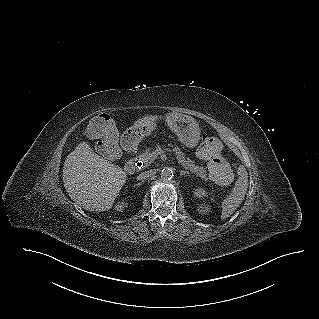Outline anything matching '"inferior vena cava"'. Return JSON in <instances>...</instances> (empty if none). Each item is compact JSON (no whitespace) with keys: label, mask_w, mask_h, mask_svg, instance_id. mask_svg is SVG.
Returning <instances> with one entry per match:
<instances>
[{"label":"inferior vena cava","mask_w":319,"mask_h":319,"mask_svg":"<svg viewBox=\"0 0 319 319\" xmlns=\"http://www.w3.org/2000/svg\"><path fill=\"white\" fill-rule=\"evenodd\" d=\"M153 174H154V172L152 170L145 171V172L141 173L138 178L139 179H146V178L151 177Z\"/></svg>","instance_id":"inferior-vena-cava-1"}]
</instances>
